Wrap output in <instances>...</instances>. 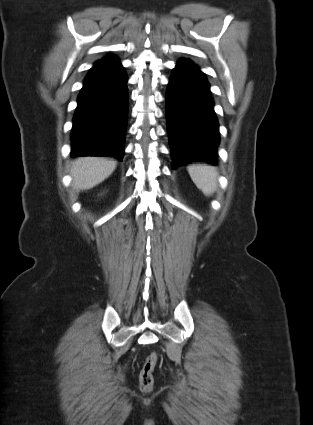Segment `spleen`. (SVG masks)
I'll return each mask as SVG.
<instances>
[{
	"mask_svg": "<svg viewBox=\"0 0 313 425\" xmlns=\"http://www.w3.org/2000/svg\"><path fill=\"white\" fill-rule=\"evenodd\" d=\"M194 184L204 195L210 196L217 188V169L208 165H191L187 168Z\"/></svg>",
	"mask_w": 313,
	"mask_h": 425,
	"instance_id": "obj_1",
	"label": "spleen"
}]
</instances>
